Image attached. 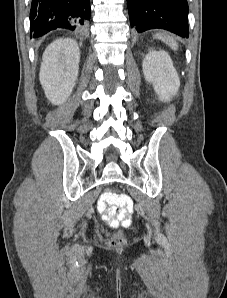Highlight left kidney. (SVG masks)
I'll return each mask as SVG.
<instances>
[{"instance_id":"1","label":"left kidney","mask_w":227,"mask_h":298,"mask_svg":"<svg viewBox=\"0 0 227 298\" xmlns=\"http://www.w3.org/2000/svg\"><path fill=\"white\" fill-rule=\"evenodd\" d=\"M146 81L153 84L159 100L168 102L178 93L180 80L172 60L164 50H150L142 63Z\"/></svg>"}]
</instances>
